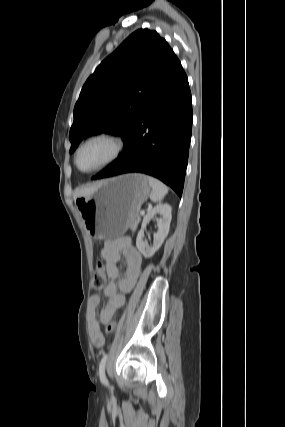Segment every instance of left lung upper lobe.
I'll return each instance as SVG.
<instances>
[{
    "label": "left lung upper lobe",
    "instance_id": "1",
    "mask_svg": "<svg viewBox=\"0 0 285 427\" xmlns=\"http://www.w3.org/2000/svg\"><path fill=\"white\" fill-rule=\"evenodd\" d=\"M172 49L148 29L132 33L85 82L74 107L70 153L88 135L109 132L125 142Z\"/></svg>",
    "mask_w": 285,
    "mask_h": 427
}]
</instances>
